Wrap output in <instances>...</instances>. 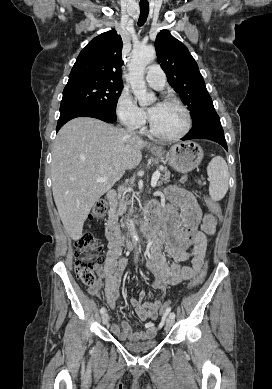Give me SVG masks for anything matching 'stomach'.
<instances>
[{
    "mask_svg": "<svg viewBox=\"0 0 272 389\" xmlns=\"http://www.w3.org/2000/svg\"><path fill=\"white\" fill-rule=\"evenodd\" d=\"M151 152L157 157H164L180 173H188L198 167L204 156L202 148L192 141L177 143L167 151L162 147H153Z\"/></svg>",
    "mask_w": 272,
    "mask_h": 389,
    "instance_id": "obj_1",
    "label": "stomach"
}]
</instances>
